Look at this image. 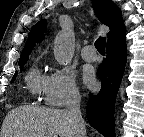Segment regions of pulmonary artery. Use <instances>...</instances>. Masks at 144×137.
<instances>
[{
	"mask_svg": "<svg viewBox=\"0 0 144 137\" xmlns=\"http://www.w3.org/2000/svg\"><path fill=\"white\" fill-rule=\"evenodd\" d=\"M81 55L86 61H95L97 59V53L92 45H86L81 50Z\"/></svg>",
	"mask_w": 144,
	"mask_h": 137,
	"instance_id": "pulmonary-artery-1",
	"label": "pulmonary artery"
}]
</instances>
